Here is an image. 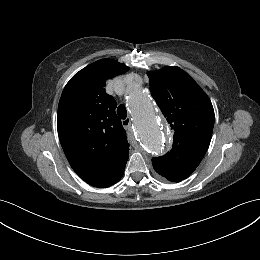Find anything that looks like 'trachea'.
<instances>
[{
  "mask_svg": "<svg viewBox=\"0 0 260 260\" xmlns=\"http://www.w3.org/2000/svg\"><path fill=\"white\" fill-rule=\"evenodd\" d=\"M117 114L121 119H126L127 117V110L124 105H119L117 108Z\"/></svg>",
  "mask_w": 260,
  "mask_h": 260,
  "instance_id": "trachea-1",
  "label": "trachea"
}]
</instances>
